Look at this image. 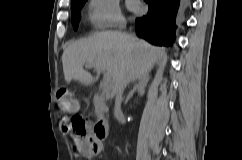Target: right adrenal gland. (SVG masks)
<instances>
[{
	"label": "right adrenal gland",
	"instance_id": "right-adrenal-gland-1",
	"mask_svg": "<svg viewBox=\"0 0 242 160\" xmlns=\"http://www.w3.org/2000/svg\"><path fill=\"white\" fill-rule=\"evenodd\" d=\"M147 83L148 78H139L138 81L135 83L133 89L129 92L124 104H127L136 92L140 93V95H143L145 93Z\"/></svg>",
	"mask_w": 242,
	"mask_h": 160
}]
</instances>
